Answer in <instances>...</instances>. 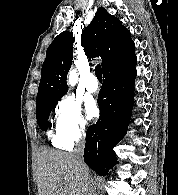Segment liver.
I'll use <instances>...</instances> for the list:
<instances>
[{
  "mask_svg": "<svg viewBox=\"0 0 178 195\" xmlns=\"http://www.w3.org/2000/svg\"><path fill=\"white\" fill-rule=\"evenodd\" d=\"M89 184V179L80 172L72 153L46 147L39 149L37 156L39 195H89Z\"/></svg>",
  "mask_w": 178,
  "mask_h": 195,
  "instance_id": "liver-1",
  "label": "liver"
}]
</instances>
